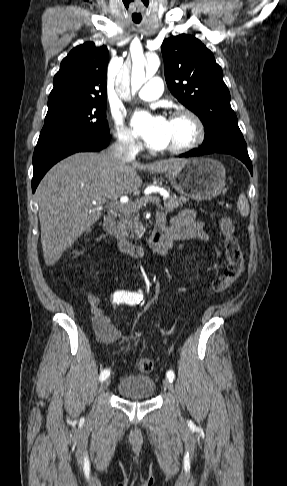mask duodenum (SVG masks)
<instances>
[{"mask_svg":"<svg viewBox=\"0 0 287 486\" xmlns=\"http://www.w3.org/2000/svg\"><path fill=\"white\" fill-rule=\"evenodd\" d=\"M165 222V216L158 214L154 228L148 240V246L154 251H157L163 243L165 236ZM103 227L105 231L117 241V245L123 253L132 255L134 257H142L144 255L145 247L129 241L117 228L115 219L112 215L105 217Z\"/></svg>","mask_w":287,"mask_h":486,"instance_id":"obj_1","label":"duodenum"}]
</instances>
